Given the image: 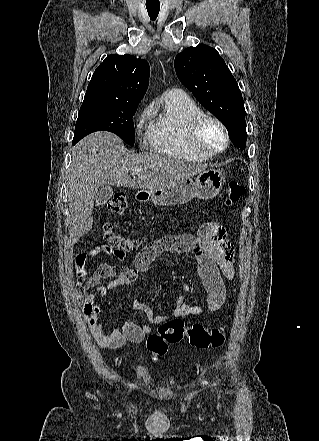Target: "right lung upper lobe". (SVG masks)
<instances>
[{
    "label": "right lung upper lobe",
    "instance_id": "obj_1",
    "mask_svg": "<svg viewBox=\"0 0 319 441\" xmlns=\"http://www.w3.org/2000/svg\"><path fill=\"white\" fill-rule=\"evenodd\" d=\"M150 67L129 54L110 55L95 70L83 102H119L138 105L146 93Z\"/></svg>",
    "mask_w": 319,
    "mask_h": 441
}]
</instances>
